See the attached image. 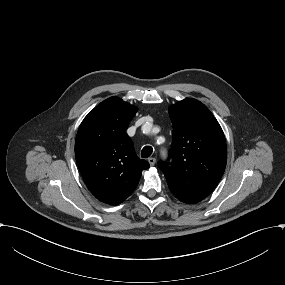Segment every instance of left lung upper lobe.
Returning <instances> with one entry per match:
<instances>
[{
	"label": "left lung upper lobe",
	"mask_w": 285,
	"mask_h": 285,
	"mask_svg": "<svg viewBox=\"0 0 285 285\" xmlns=\"http://www.w3.org/2000/svg\"><path fill=\"white\" fill-rule=\"evenodd\" d=\"M173 125L172 162L158 166L170 191L185 203L208 196L222 177L227 162L224 133L210 110L196 99L186 98L170 106Z\"/></svg>",
	"instance_id": "5c2ea615"
}]
</instances>
